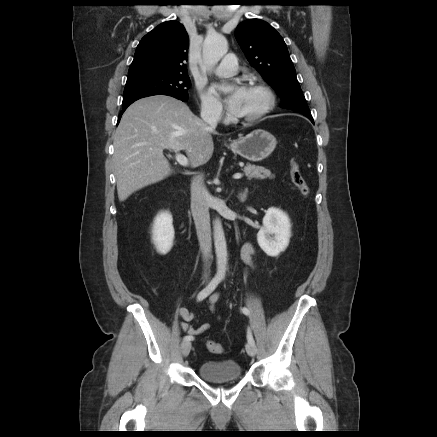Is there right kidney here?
<instances>
[{
    "label": "right kidney",
    "instance_id": "obj_1",
    "mask_svg": "<svg viewBox=\"0 0 437 437\" xmlns=\"http://www.w3.org/2000/svg\"><path fill=\"white\" fill-rule=\"evenodd\" d=\"M173 219L169 212H161L154 220L152 240L158 253L167 254L174 241Z\"/></svg>",
    "mask_w": 437,
    "mask_h": 437
}]
</instances>
